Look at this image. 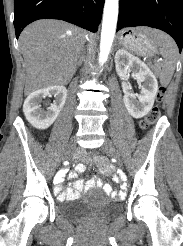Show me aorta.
<instances>
[{
  "label": "aorta",
  "instance_id": "1",
  "mask_svg": "<svg viewBox=\"0 0 183 246\" xmlns=\"http://www.w3.org/2000/svg\"><path fill=\"white\" fill-rule=\"evenodd\" d=\"M119 0H105L100 41V55L98 62L103 65L107 59L113 43L117 19Z\"/></svg>",
  "mask_w": 183,
  "mask_h": 246
}]
</instances>
